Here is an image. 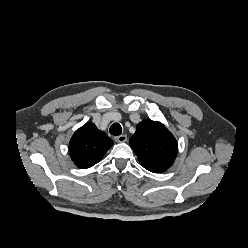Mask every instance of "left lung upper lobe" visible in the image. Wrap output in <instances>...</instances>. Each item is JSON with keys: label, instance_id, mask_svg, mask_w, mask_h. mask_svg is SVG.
Wrapping results in <instances>:
<instances>
[{"label": "left lung upper lobe", "instance_id": "1", "mask_svg": "<svg viewBox=\"0 0 248 248\" xmlns=\"http://www.w3.org/2000/svg\"><path fill=\"white\" fill-rule=\"evenodd\" d=\"M129 143L140 164L153 173L166 171L177 155V142L158 121L144 120L136 127Z\"/></svg>", "mask_w": 248, "mask_h": 248}]
</instances>
